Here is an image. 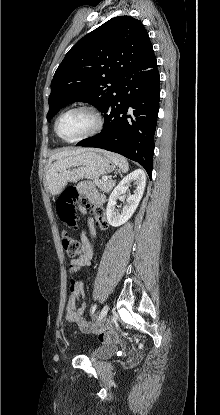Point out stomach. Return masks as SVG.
Instances as JSON below:
<instances>
[{
  "instance_id": "obj_1",
  "label": "stomach",
  "mask_w": 220,
  "mask_h": 415,
  "mask_svg": "<svg viewBox=\"0 0 220 415\" xmlns=\"http://www.w3.org/2000/svg\"><path fill=\"white\" fill-rule=\"evenodd\" d=\"M114 164L105 156L87 150L82 153L58 159L48 169L46 181L51 194H60L68 182L83 178L98 179L114 170Z\"/></svg>"
}]
</instances>
